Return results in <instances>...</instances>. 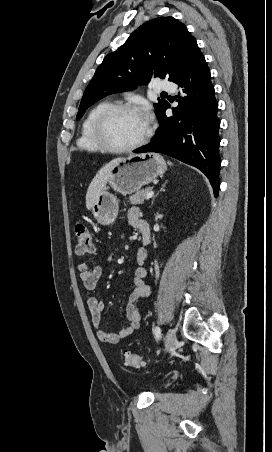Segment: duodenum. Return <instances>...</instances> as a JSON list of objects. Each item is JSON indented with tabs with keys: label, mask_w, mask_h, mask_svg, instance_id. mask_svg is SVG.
Segmentation results:
<instances>
[{
	"label": "duodenum",
	"mask_w": 272,
	"mask_h": 452,
	"mask_svg": "<svg viewBox=\"0 0 272 452\" xmlns=\"http://www.w3.org/2000/svg\"><path fill=\"white\" fill-rule=\"evenodd\" d=\"M136 226L141 233L143 245L147 246L151 241L150 226H149L148 221L144 218H141L137 221ZM142 250H144V249H142Z\"/></svg>",
	"instance_id": "obj_1"
}]
</instances>
